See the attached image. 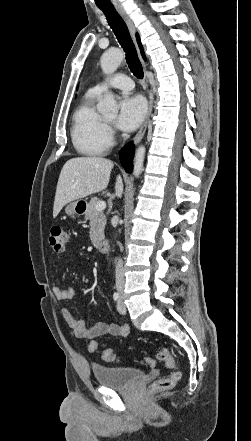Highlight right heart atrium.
Instances as JSON below:
<instances>
[{
  "label": "right heart atrium",
  "instance_id": "obj_1",
  "mask_svg": "<svg viewBox=\"0 0 251 441\" xmlns=\"http://www.w3.org/2000/svg\"><path fill=\"white\" fill-rule=\"evenodd\" d=\"M107 132L109 134V136L112 134V129L110 127H107Z\"/></svg>",
  "mask_w": 251,
  "mask_h": 441
}]
</instances>
